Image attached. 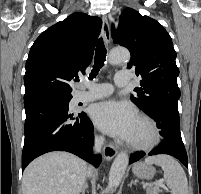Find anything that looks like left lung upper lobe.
Instances as JSON below:
<instances>
[{
	"instance_id": "5c2ea615",
	"label": "left lung upper lobe",
	"mask_w": 201,
	"mask_h": 194,
	"mask_svg": "<svg viewBox=\"0 0 201 194\" xmlns=\"http://www.w3.org/2000/svg\"><path fill=\"white\" fill-rule=\"evenodd\" d=\"M112 37L114 43L130 51L131 60L127 68L134 67L136 75L142 78L131 100L149 115L159 106L178 108L180 90L176 52L163 26L127 8L122 12L117 31H113Z\"/></svg>"
}]
</instances>
